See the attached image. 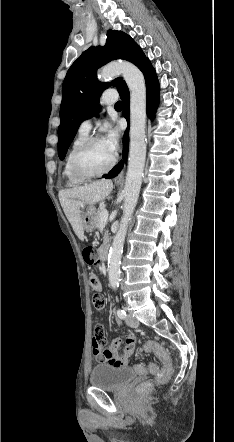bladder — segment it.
<instances>
[{
    "label": "bladder",
    "mask_w": 234,
    "mask_h": 442,
    "mask_svg": "<svg viewBox=\"0 0 234 442\" xmlns=\"http://www.w3.org/2000/svg\"><path fill=\"white\" fill-rule=\"evenodd\" d=\"M137 376L134 368L128 366H113L110 364L96 365L90 374V384L106 390H118Z\"/></svg>",
    "instance_id": "bladder-1"
}]
</instances>
